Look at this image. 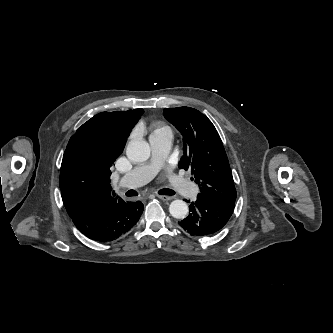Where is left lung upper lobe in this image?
<instances>
[{"label": "left lung upper lobe", "mask_w": 333, "mask_h": 333, "mask_svg": "<svg viewBox=\"0 0 333 333\" xmlns=\"http://www.w3.org/2000/svg\"><path fill=\"white\" fill-rule=\"evenodd\" d=\"M165 118L183 136L179 168L191 170L199 194L217 202L235 203L236 189L220 136L211 121L190 107L164 109Z\"/></svg>", "instance_id": "5c2ea615"}]
</instances>
